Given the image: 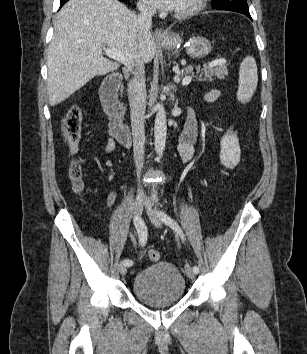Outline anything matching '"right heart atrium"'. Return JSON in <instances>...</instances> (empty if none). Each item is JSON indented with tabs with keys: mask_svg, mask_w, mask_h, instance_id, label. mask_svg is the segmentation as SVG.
Listing matches in <instances>:
<instances>
[{
	"mask_svg": "<svg viewBox=\"0 0 307 354\" xmlns=\"http://www.w3.org/2000/svg\"><path fill=\"white\" fill-rule=\"evenodd\" d=\"M139 6L142 10H150L151 7L149 5V3L147 2V0H140L139 2Z\"/></svg>",
	"mask_w": 307,
	"mask_h": 354,
	"instance_id": "right-heart-atrium-1",
	"label": "right heart atrium"
}]
</instances>
